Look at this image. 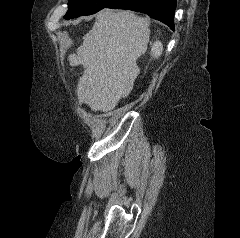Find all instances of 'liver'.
I'll return each mask as SVG.
<instances>
[{
  "label": "liver",
  "mask_w": 240,
  "mask_h": 238,
  "mask_svg": "<svg viewBox=\"0 0 240 238\" xmlns=\"http://www.w3.org/2000/svg\"><path fill=\"white\" fill-rule=\"evenodd\" d=\"M149 40L147 19L130 11H100L77 54L68 58L71 66L84 68L77 85L79 103L92 111L113 110L132 91L139 74L136 61Z\"/></svg>",
  "instance_id": "6515ba94"
}]
</instances>
